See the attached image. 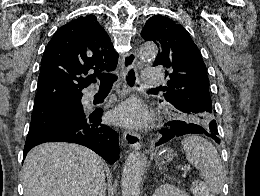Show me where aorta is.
Masks as SVG:
<instances>
[{"mask_svg": "<svg viewBox=\"0 0 260 196\" xmlns=\"http://www.w3.org/2000/svg\"><path fill=\"white\" fill-rule=\"evenodd\" d=\"M158 48L154 43H144L139 51L142 60H154ZM147 159L139 151H133L127 157L122 172V196H139L140 184L146 168Z\"/></svg>", "mask_w": 260, "mask_h": 196, "instance_id": "1", "label": "aorta"}]
</instances>
